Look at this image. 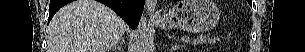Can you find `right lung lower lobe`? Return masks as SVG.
<instances>
[{
    "label": "right lung lower lobe",
    "mask_w": 305,
    "mask_h": 52,
    "mask_svg": "<svg viewBox=\"0 0 305 52\" xmlns=\"http://www.w3.org/2000/svg\"><path fill=\"white\" fill-rule=\"evenodd\" d=\"M72 0H51L48 23L53 15ZM115 11L132 29H135L142 15L145 0H97Z\"/></svg>",
    "instance_id": "1"
}]
</instances>
